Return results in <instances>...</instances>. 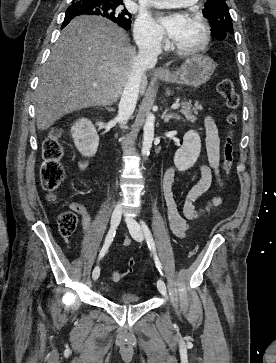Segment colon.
<instances>
[{
    "mask_svg": "<svg viewBox=\"0 0 276 363\" xmlns=\"http://www.w3.org/2000/svg\"><path fill=\"white\" fill-rule=\"evenodd\" d=\"M218 93L225 99L226 106L230 110H235L239 104V96L234 88V83L230 79H222L217 84ZM228 123L234 125L236 123L235 114L228 116ZM61 130L54 128L49 137L43 143V163L41 166L40 178L41 185L45 191L49 193L50 201L55 199V192L60 187L65 178L64 167L61 163L63 157V147L59 140ZM234 162V146L232 137L229 135L223 146L222 167L228 173ZM78 225V217L73 211H65L58 218L59 232L63 237H69L76 231ZM196 248L188 252V257L194 256ZM135 264L133 258L128 260V266L131 270Z\"/></svg>",
    "mask_w": 276,
    "mask_h": 363,
    "instance_id": "obj_1",
    "label": "colon"
}]
</instances>
